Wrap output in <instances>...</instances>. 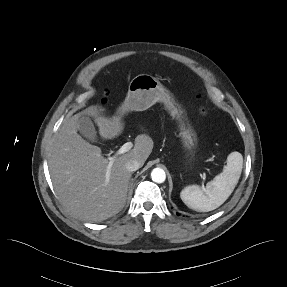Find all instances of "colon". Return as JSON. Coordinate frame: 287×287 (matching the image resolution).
<instances>
[{
  "instance_id": "5ec220e1",
  "label": "colon",
  "mask_w": 287,
  "mask_h": 287,
  "mask_svg": "<svg viewBox=\"0 0 287 287\" xmlns=\"http://www.w3.org/2000/svg\"><path fill=\"white\" fill-rule=\"evenodd\" d=\"M100 102H101V104H106V102H107V95H101L100 96ZM200 112L201 113H205V109L204 108H201L200 109Z\"/></svg>"
}]
</instances>
